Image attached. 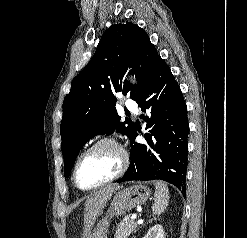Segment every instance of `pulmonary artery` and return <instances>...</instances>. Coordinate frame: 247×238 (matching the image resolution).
Masks as SVG:
<instances>
[{"instance_id": "1", "label": "pulmonary artery", "mask_w": 247, "mask_h": 238, "mask_svg": "<svg viewBox=\"0 0 247 238\" xmlns=\"http://www.w3.org/2000/svg\"><path fill=\"white\" fill-rule=\"evenodd\" d=\"M126 107L131 110L132 112H134L135 114H138V107L137 104L133 101V100H127L126 101Z\"/></svg>"}]
</instances>
